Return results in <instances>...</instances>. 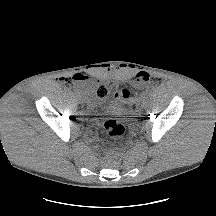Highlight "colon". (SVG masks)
Returning <instances> with one entry per match:
<instances>
[{
	"label": "colon",
	"instance_id": "colon-1",
	"mask_svg": "<svg viewBox=\"0 0 216 216\" xmlns=\"http://www.w3.org/2000/svg\"><path fill=\"white\" fill-rule=\"evenodd\" d=\"M141 76L143 77V80L148 79V76L146 74H142ZM94 94L97 99H106L110 94L109 85L104 81H98ZM125 99L128 100L131 108H135L137 106V103L134 99H129V97ZM103 127L107 135L113 140H119L125 133L123 124L116 119H107L104 122Z\"/></svg>",
	"mask_w": 216,
	"mask_h": 216
}]
</instances>
